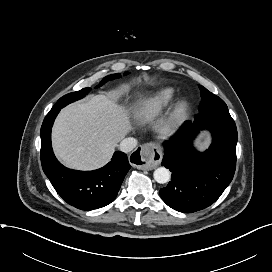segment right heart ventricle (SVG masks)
Instances as JSON below:
<instances>
[{
  "mask_svg": "<svg viewBox=\"0 0 272 272\" xmlns=\"http://www.w3.org/2000/svg\"><path fill=\"white\" fill-rule=\"evenodd\" d=\"M174 96L175 90L170 87L156 91L139 105L135 112L136 120L142 124L150 122L171 103Z\"/></svg>",
  "mask_w": 272,
  "mask_h": 272,
  "instance_id": "e07e8e85",
  "label": "right heart ventricle"
}]
</instances>
